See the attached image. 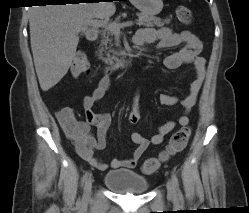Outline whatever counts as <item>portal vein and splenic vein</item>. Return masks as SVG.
Here are the masks:
<instances>
[{"label":"portal vein and splenic vein","instance_id":"portal-vein-and-splenic-vein-1","mask_svg":"<svg viewBox=\"0 0 249 213\" xmlns=\"http://www.w3.org/2000/svg\"><path fill=\"white\" fill-rule=\"evenodd\" d=\"M88 23H89V25H91L93 27H98V28L102 27V28L110 29L116 34L120 33V29L133 26V24H134L132 21H127V22H123L120 24H112L106 20H91Z\"/></svg>","mask_w":249,"mask_h":213}]
</instances>
